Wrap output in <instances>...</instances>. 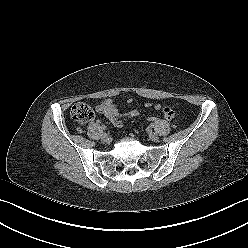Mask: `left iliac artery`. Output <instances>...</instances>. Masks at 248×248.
Masks as SVG:
<instances>
[{"label": "left iliac artery", "mask_w": 248, "mask_h": 248, "mask_svg": "<svg viewBox=\"0 0 248 248\" xmlns=\"http://www.w3.org/2000/svg\"><path fill=\"white\" fill-rule=\"evenodd\" d=\"M150 126H151V127H153L154 125H153V124H151Z\"/></svg>", "instance_id": "1"}]
</instances>
